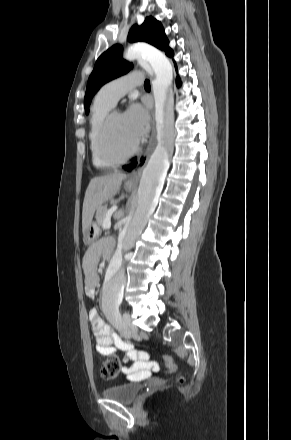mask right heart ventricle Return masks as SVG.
Instances as JSON below:
<instances>
[{"instance_id": "e07e8e85", "label": "right heart ventricle", "mask_w": 291, "mask_h": 440, "mask_svg": "<svg viewBox=\"0 0 291 440\" xmlns=\"http://www.w3.org/2000/svg\"><path fill=\"white\" fill-rule=\"evenodd\" d=\"M112 105L103 100L99 94L96 95L91 109L90 128H89V147L92 156V162L99 168H110L115 165L106 160L100 153L98 143V131L105 116L110 112Z\"/></svg>"}]
</instances>
